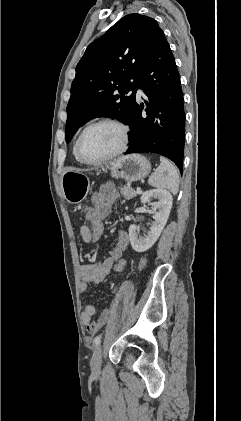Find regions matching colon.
Returning <instances> with one entry per match:
<instances>
[{
    "instance_id": "colon-1",
    "label": "colon",
    "mask_w": 241,
    "mask_h": 421,
    "mask_svg": "<svg viewBox=\"0 0 241 421\" xmlns=\"http://www.w3.org/2000/svg\"><path fill=\"white\" fill-rule=\"evenodd\" d=\"M85 216H86V220L89 223V228H90V235H89V241L90 243H96L98 242L104 233V224H103V220L101 218H99L93 207H87L85 209ZM128 267V263L125 259L120 258L118 260H116L112 266V270L115 273H123L126 271Z\"/></svg>"
}]
</instances>
